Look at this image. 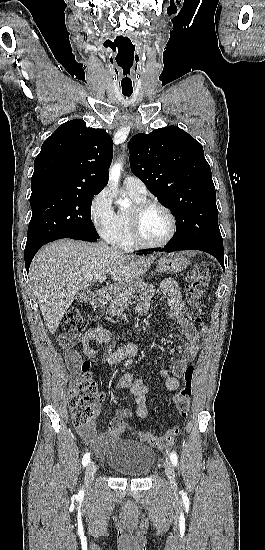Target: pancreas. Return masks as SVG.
I'll use <instances>...</instances> for the list:
<instances>
[{"label": "pancreas", "instance_id": "obj_1", "mask_svg": "<svg viewBox=\"0 0 265 550\" xmlns=\"http://www.w3.org/2000/svg\"><path fill=\"white\" fill-rule=\"evenodd\" d=\"M154 291L153 285L143 281H136L110 303L107 312L112 316H116L120 314L132 300L151 299Z\"/></svg>", "mask_w": 265, "mask_h": 550}]
</instances>
